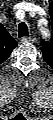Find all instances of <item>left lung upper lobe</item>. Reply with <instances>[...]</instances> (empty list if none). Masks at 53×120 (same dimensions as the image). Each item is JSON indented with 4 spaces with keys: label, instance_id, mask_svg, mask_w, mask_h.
I'll use <instances>...</instances> for the list:
<instances>
[{
    "label": "left lung upper lobe",
    "instance_id": "5c2ea615",
    "mask_svg": "<svg viewBox=\"0 0 53 120\" xmlns=\"http://www.w3.org/2000/svg\"><path fill=\"white\" fill-rule=\"evenodd\" d=\"M41 51L45 61L52 66L53 64V39H50V42H41Z\"/></svg>",
    "mask_w": 53,
    "mask_h": 120
}]
</instances>
